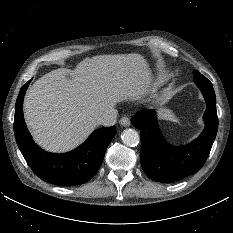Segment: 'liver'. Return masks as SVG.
<instances>
[{
	"mask_svg": "<svg viewBox=\"0 0 233 233\" xmlns=\"http://www.w3.org/2000/svg\"><path fill=\"white\" fill-rule=\"evenodd\" d=\"M155 90L140 54L99 55L39 78L25 96L24 116L41 147L64 152L80 145L117 103Z\"/></svg>",
	"mask_w": 233,
	"mask_h": 233,
	"instance_id": "1",
	"label": "liver"
}]
</instances>
